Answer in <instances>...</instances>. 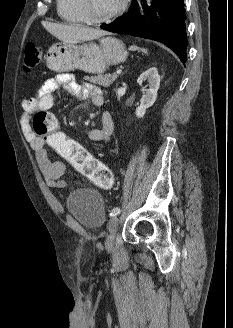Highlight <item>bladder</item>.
Segmentation results:
<instances>
[{"instance_id": "obj_1", "label": "bladder", "mask_w": 233, "mask_h": 328, "mask_svg": "<svg viewBox=\"0 0 233 328\" xmlns=\"http://www.w3.org/2000/svg\"><path fill=\"white\" fill-rule=\"evenodd\" d=\"M66 207L85 228H98L105 220L103 199L94 190L79 188L71 191L66 198Z\"/></svg>"}]
</instances>
